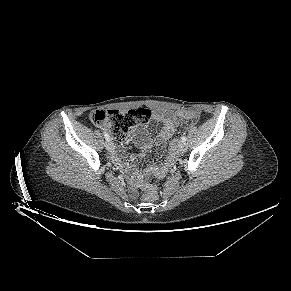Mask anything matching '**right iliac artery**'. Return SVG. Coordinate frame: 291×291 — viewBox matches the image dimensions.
I'll return each instance as SVG.
<instances>
[{"instance_id": "1", "label": "right iliac artery", "mask_w": 291, "mask_h": 291, "mask_svg": "<svg viewBox=\"0 0 291 291\" xmlns=\"http://www.w3.org/2000/svg\"><path fill=\"white\" fill-rule=\"evenodd\" d=\"M104 137L106 141H110V136L108 135V133L104 132Z\"/></svg>"}]
</instances>
